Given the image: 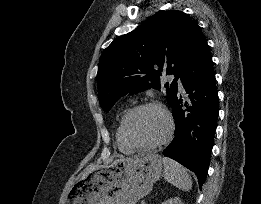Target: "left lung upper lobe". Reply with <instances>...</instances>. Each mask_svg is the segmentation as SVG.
Instances as JSON below:
<instances>
[{
	"label": "left lung upper lobe",
	"mask_w": 261,
	"mask_h": 204,
	"mask_svg": "<svg viewBox=\"0 0 261 204\" xmlns=\"http://www.w3.org/2000/svg\"><path fill=\"white\" fill-rule=\"evenodd\" d=\"M199 30L198 23L184 12L168 10L115 39L99 61L97 87L103 110L108 112L128 93L160 89L164 74L176 76L171 85L165 84L171 105L177 93V78Z\"/></svg>",
	"instance_id": "1"
}]
</instances>
